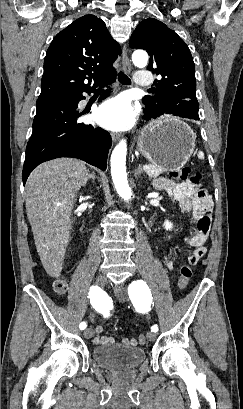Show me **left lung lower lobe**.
Instances as JSON below:
<instances>
[{
	"mask_svg": "<svg viewBox=\"0 0 243 409\" xmlns=\"http://www.w3.org/2000/svg\"><path fill=\"white\" fill-rule=\"evenodd\" d=\"M164 114H173L183 118H189L194 120H199L198 110H196L192 105H178L173 108L165 110ZM159 112L145 111V119L150 120L151 118H156L160 116Z\"/></svg>",
	"mask_w": 243,
	"mask_h": 409,
	"instance_id": "0a47b994",
	"label": "left lung lower lobe"
}]
</instances>
